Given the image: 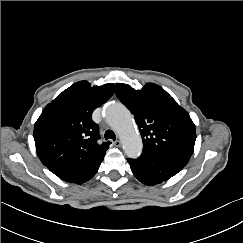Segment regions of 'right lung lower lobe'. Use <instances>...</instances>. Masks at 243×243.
<instances>
[{"instance_id":"98d812e1","label":"right lung lower lobe","mask_w":243,"mask_h":243,"mask_svg":"<svg viewBox=\"0 0 243 243\" xmlns=\"http://www.w3.org/2000/svg\"><path fill=\"white\" fill-rule=\"evenodd\" d=\"M101 162L102 160L95 163H89L83 167L59 173L57 176L66 182L82 184L91 179L96 174Z\"/></svg>"}]
</instances>
